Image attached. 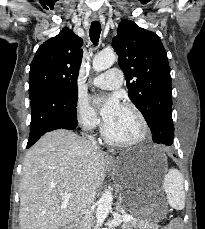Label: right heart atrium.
<instances>
[{
  "instance_id": "obj_1",
  "label": "right heart atrium",
  "mask_w": 205,
  "mask_h": 229,
  "mask_svg": "<svg viewBox=\"0 0 205 229\" xmlns=\"http://www.w3.org/2000/svg\"><path fill=\"white\" fill-rule=\"evenodd\" d=\"M75 116L79 125L87 130L95 129L100 120L85 98L78 97L75 105Z\"/></svg>"
}]
</instances>
